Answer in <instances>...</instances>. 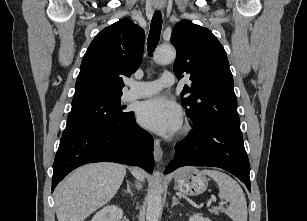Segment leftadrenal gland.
<instances>
[{"instance_id":"obj_1","label":"left adrenal gland","mask_w":307,"mask_h":221,"mask_svg":"<svg viewBox=\"0 0 307 221\" xmlns=\"http://www.w3.org/2000/svg\"><path fill=\"white\" fill-rule=\"evenodd\" d=\"M178 204L182 205V204L179 202V200L177 199V197H176V196H173V197H172V205H171V207H174V206H176V205H178Z\"/></svg>"}]
</instances>
